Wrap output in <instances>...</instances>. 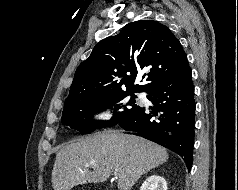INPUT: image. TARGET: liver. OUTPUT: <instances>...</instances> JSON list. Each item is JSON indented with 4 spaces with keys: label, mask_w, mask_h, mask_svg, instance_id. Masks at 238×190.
<instances>
[{
    "label": "liver",
    "mask_w": 238,
    "mask_h": 190,
    "mask_svg": "<svg viewBox=\"0 0 238 190\" xmlns=\"http://www.w3.org/2000/svg\"><path fill=\"white\" fill-rule=\"evenodd\" d=\"M167 159L166 149L142 137L119 131L98 132L57 152L52 185L54 190H71L77 185L102 183L114 173L118 189L130 190L143 174Z\"/></svg>",
    "instance_id": "1"
}]
</instances>
